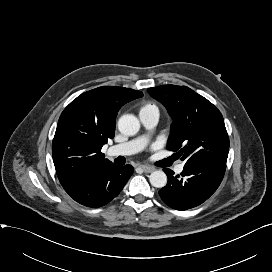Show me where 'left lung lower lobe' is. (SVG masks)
<instances>
[{
	"instance_id": "0a47b994",
	"label": "left lung lower lobe",
	"mask_w": 272,
	"mask_h": 272,
	"mask_svg": "<svg viewBox=\"0 0 272 272\" xmlns=\"http://www.w3.org/2000/svg\"><path fill=\"white\" fill-rule=\"evenodd\" d=\"M226 164L194 163L185 164L180 175L164 169L168 182L160 191V197L171 208L187 210L206 201L220 185Z\"/></svg>"
}]
</instances>
